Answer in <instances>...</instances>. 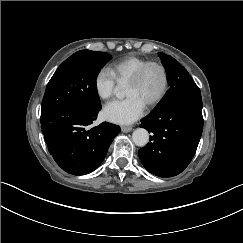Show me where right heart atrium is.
<instances>
[{"label": "right heart atrium", "instance_id": "obj_1", "mask_svg": "<svg viewBox=\"0 0 243 243\" xmlns=\"http://www.w3.org/2000/svg\"><path fill=\"white\" fill-rule=\"evenodd\" d=\"M116 78L109 66H101L93 78V88L98 99L106 100L113 96Z\"/></svg>", "mask_w": 243, "mask_h": 243}]
</instances>
